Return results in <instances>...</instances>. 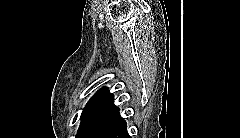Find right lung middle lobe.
<instances>
[{
  "label": "right lung middle lobe",
  "instance_id": "dd1d6c3e",
  "mask_svg": "<svg viewBox=\"0 0 240 138\" xmlns=\"http://www.w3.org/2000/svg\"><path fill=\"white\" fill-rule=\"evenodd\" d=\"M109 116L98 114L81 115V124L76 138H87L90 132L105 121Z\"/></svg>",
  "mask_w": 240,
  "mask_h": 138
}]
</instances>
